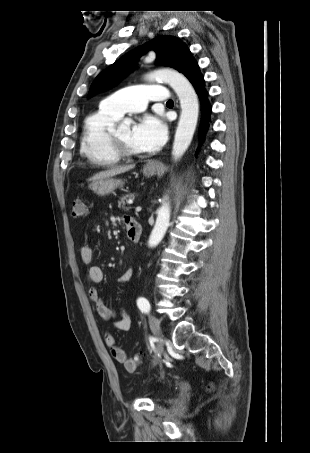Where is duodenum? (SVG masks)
<instances>
[{
    "label": "duodenum",
    "instance_id": "duodenum-1",
    "mask_svg": "<svg viewBox=\"0 0 310 453\" xmlns=\"http://www.w3.org/2000/svg\"><path fill=\"white\" fill-rule=\"evenodd\" d=\"M127 236L131 242H138L141 237V225L138 221H130L127 226Z\"/></svg>",
    "mask_w": 310,
    "mask_h": 453
}]
</instances>
